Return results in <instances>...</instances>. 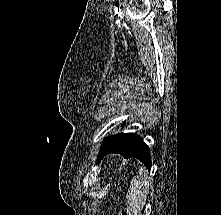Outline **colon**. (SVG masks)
Instances as JSON below:
<instances>
[{
    "label": "colon",
    "instance_id": "obj_1",
    "mask_svg": "<svg viewBox=\"0 0 221 215\" xmlns=\"http://www.w3.org/2000/svg\"><path fill=\"white\" fill-rule=\"evenodd\" d=\"M119 215H126L125 211H121Z\"/></svg>",
    "mask_w": 221,
    "mask_h": 215
}]
</instances>
